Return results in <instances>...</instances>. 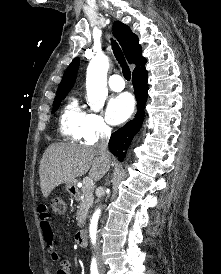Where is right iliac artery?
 Instances as JSON below:
<instances>
[{"label":"right iliac artery","instance_id":"obj_1","mask_svg":"<svg viewBox=\"0 0 221 274\" xmlns=\"http://www.w3.org/2000/svg\"><path fill=\"white\" fill-rule=\"evenodd\" d=\"M91 274H99L98 268H97V261L95 258L92 259L91 261Z\"/></svg>","mask_w":221,"mask_h":274}]
</instances>
